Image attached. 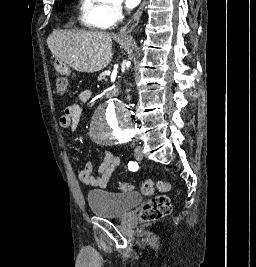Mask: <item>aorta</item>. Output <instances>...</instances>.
<instances>
[{"label": "aorta", "mask_w": 256, "mask_h": 267, "mask_svg": "<svg viewBox=\"0 0 256 267\" xmlns=\"http://www.w3.org/2000/svg\"><path fill=\"white\" fill-rule=\"evenodd\" d=\"M92 127H133L131 108L121 101H102L92 117ZM118 133H128V128H89L93 143H116Z\"/></svg>", "instance_id": "aorta-1"}]
</instances>
